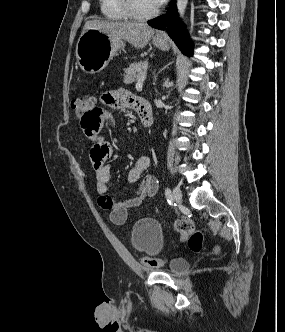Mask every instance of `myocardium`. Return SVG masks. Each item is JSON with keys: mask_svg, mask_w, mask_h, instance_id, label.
Segmentation results:
<instances>
[{"mask_svg": "<svg viewBox=\"0 0 285 332\" xmlns=\"http://www.w3.org/2000/svg\"><path fill=\"white\" fill-rule=\"evenodd\" d=\"M119 1L122 8L127 13V15L134 20L146 21L156 17L159 13L158 8L149 13H141L136 7L135 0H119Z\"/></svg>", "mask_w": 285, "mask_h": 332, "instance_id": "obj_1", "label": "myocardium"}]
</instances>
